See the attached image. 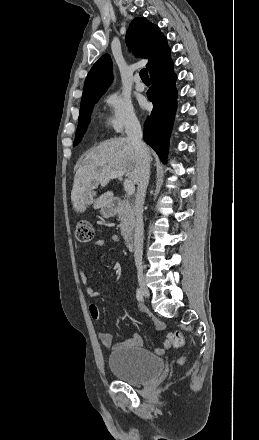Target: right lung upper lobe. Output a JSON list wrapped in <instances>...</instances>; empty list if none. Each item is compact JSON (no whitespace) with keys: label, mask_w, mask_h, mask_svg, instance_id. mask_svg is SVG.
Here are the masks:
<instances>
[{"label":"right lung upper lobe","mask_w":259,"mask_h":440,"mask_svg":"<svg viewBox=\"0 0 259 440\" xmlns=\"http://www.w3.org/2000/svg\"><path fill=\"white\" fill-rule=\"evenodd\" d=\"M126 44L133 54L148 58L147 68L151 73L170 57L166 37L158 26L144 17L135 18L127 31ZM112 60L103 55L91 68L85 80L81 103L99 99L112 82Z\"/></svg>","instance_id":"1"}]
</instances>
